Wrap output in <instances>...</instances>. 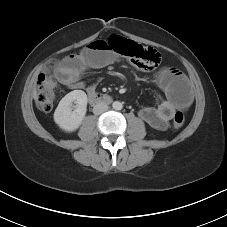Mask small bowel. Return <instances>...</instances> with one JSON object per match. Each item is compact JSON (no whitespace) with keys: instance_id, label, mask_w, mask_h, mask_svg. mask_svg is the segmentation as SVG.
<instances>
[{"instance_id":"c3829d8e","label":"small bowel","mask_w":227,"mask_h":227,"mask_svg":"<svg viewBox=\"0 0 227 227\" xmlns=\"http://www.w3.org/2000/svg\"><path fill=\"white\" fill-rule=\"evenodd\" d=\"M115 60L116 55L111 50L110 44L105 40H97L88 44L79 53L63 59L56 73L67 88L86 89L90 95L95 91V86L88 85L81 79L84 71L87 68L106 67ZM156 81L165 99L158 102L156 106L140 109L139 117L152 128L164 131L174 112L177 109L189 108L193 98L188 80L177 69L169 67L160 69L156 73Z\"/></svg>"}]
</instances>
